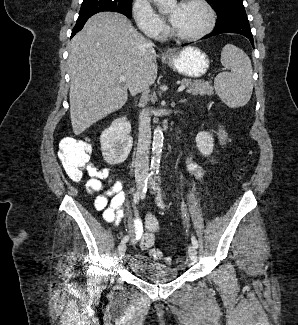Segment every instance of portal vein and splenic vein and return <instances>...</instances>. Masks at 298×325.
Returning <instances> with one entry per match:
<instances>
[{"label": "portal vein and splenic vein", "mask_w": 298, "mask_h": 325, "mask_svg": "<svg viewBox=\"0 0 298 325\" xmlns=\"http://www.w3.org/2000/svg\"><path fill=\"white\" fill-rule=\"evenodd\" d=\"M126 80V76H119V82H124ZM188 84H180L177 88V92H181V90H185L187 88Z\"/></svg>", "instance_id": "obj_1"}]
</instances>
